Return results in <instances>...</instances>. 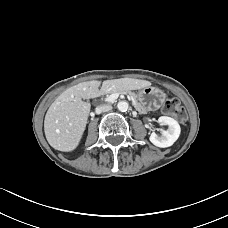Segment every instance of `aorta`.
<instances>
[{
    "mask_svg": "<svg viewBox=\"0 0 228 228\" xmlns=\"http://www.w3.org/2000/svg\"><path fill=\"white\" fill-rule=\"evenodd\" d=\"M129 104L126 101H120L117 104V108L121 112H125L128 110Z\"/></svg>",
    "mask_w": 228,
    "mask_h": 228,
    "instance_id": "762f6f07",
    "label": "aorta"
}]
</instances>
